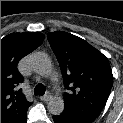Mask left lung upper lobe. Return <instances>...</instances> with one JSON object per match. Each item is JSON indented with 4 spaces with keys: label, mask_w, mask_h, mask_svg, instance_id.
Instances as JSON below:
<instances>
[{
    "label": "left lung upper lobe",
    "mask_w": 123,
    "mask_h": 123,
    "mask_svg": "<svg viewBox=\"0 0 123 123\" xmlns=\"http://www.w3.org/2000/svg\"><path fill=\"white\" fill-rule=\"evenodd\" d=\"M58 59L64 86V113L81 121H94L107 102L113 75L107 57L85 40L64 31L47 35Z\"/></svg>",
    "instance_id": "obj_1"
}]
</instances>
